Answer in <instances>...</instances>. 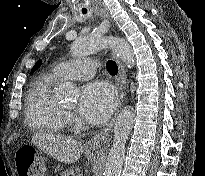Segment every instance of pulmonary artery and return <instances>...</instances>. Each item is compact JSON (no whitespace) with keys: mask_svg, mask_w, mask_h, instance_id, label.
Listing matches in <instances>:
<instances>
[{"mask_svg":"<svg viewBox=\"0 0 205 176\" xmlns=\"http://www.w3.org/2000/svg\"><path fill=\"white\" fill-rule=\"evenodd\" d=\"M96 61H87L83 58L71 59L58 63L53 73L60 79H85L94 75Z\"/></svg>","mask_w":205,"mask_h":176,"instance_id":"obj_1","label":"pulmonary artery"}]
</instances>
